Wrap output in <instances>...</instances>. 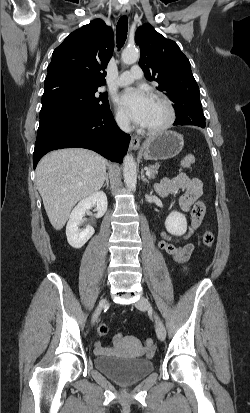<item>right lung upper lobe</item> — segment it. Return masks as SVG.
Instances as JSON below:
<instances>
[{
  "mask_svg": "<svg viewBox=\"0 0 250 413\" xmlns=\"http://www.w3.org/2000/svg\"><path fill=\"white\" fill-rule=\"evenodd\" d=\"M113 48V31L101 19L72 32L52 54L44 94L66 85H105V68Z\"/></svg>",
  "mask_w": 250,
  "mask_h": 413,
  "instance_id": "right-lung-upper-lobe-1",
  "label": "right lung upper lobe"
}]
</instances>
